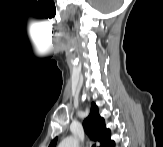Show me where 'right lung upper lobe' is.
Segmentation results:
<instances>
[{
  "label": "right lung upper lobe",
  "instance_id": "right-lung-upper-lobe-1",
  "mask_svg": "<svg viewBox=\"0 0 163 147\" xmlns=\"http://www.w3.org/2000/svg\"><path fill=\"white\" fill-rule=\"evenodd\" d=\"M83 125L87 133L94 141H98L101 147H107L111 142L110 130L105 127L104 118L99 115L98 107L93 102L89 116L84 120ZM57 137L52 140L50 147H55Z\"/></svg>",
  "mask_w": 163,
  "mask_h": 147
}]
</instances>
